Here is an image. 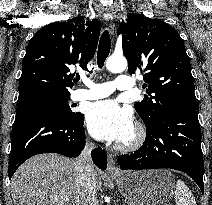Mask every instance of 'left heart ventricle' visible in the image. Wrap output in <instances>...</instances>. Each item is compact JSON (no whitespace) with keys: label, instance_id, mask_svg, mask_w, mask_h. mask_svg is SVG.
<instances>
[{"label":"left heart ventricle","instance_id":"obj_1","mask_svg":"<svg viewBox=\"0 0 212 205\" xmlns=\"http://www.w3.org/2000/svg\"><path fill=\"white\" fill-rule=\"evenodd\" d=\"M131 136H132V135H131ZM131 136H130L128 139H126V140H129V139L131 138ZM126 140H125V141H126Z\"/></svg>","mask_w":212,"mask_h":205}]
</instances>
